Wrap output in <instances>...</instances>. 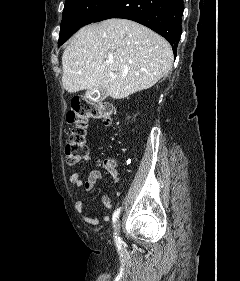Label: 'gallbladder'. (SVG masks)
<instances>
[{"instance_id": "1", "label": "gallbladder", "mask_w": 240, "mask_h": 281, "mask_svg": "<svg viewBox=\"0 0 240 281\" xmlns=\"http://www.w3.org/2000/svg\"><path fill=\"white\" fill-rule=\"evenodd\" d=\"M87 95V94H86ZM96 96V95H95ZM105 97H106V94L104 93V91L103 90H100V95L98 96V99L99 100H103V99H105Z\"/></svg>"}]
</instances>
